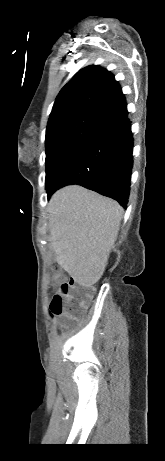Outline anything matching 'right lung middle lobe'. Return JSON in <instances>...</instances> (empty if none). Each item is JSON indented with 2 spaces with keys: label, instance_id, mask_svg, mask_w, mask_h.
Listing matches in <instances>:
<instances>
[{
  "label": "right lung middle lobe",
  "instance_id": "obj_1",
  "mask_svg": "<svg viewBox=\"0 0 165 461\" xmlns=\"http://www.w3.org/2000/svg\"><path fill=\"white\" fill-rule=\"evenodd\" d=\"M105 120L93 115L60 118L48 123L46 130V186L81 144Z\"/></svg>",
  "mask_w": 165,
  "mask_h": 461
}]
</instances>
